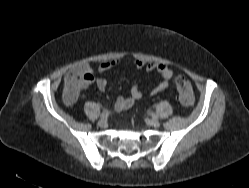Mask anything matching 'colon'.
Masks as SVG:
<instances>
[{"label": "colon", "instance_id": "5ec220e1", "mask_svg": "<svg viewBox=\"0 0 249 188\" xmlns=\"http://www.w3.org/2000/svg\"><path fill=\"white\" fill-rule=\"evenodd\" d=\"M77 74V71L72 69L70 75L73 77ZM175 86L178 92V98L180 103L185 107H191L194 103V94L190 82L184 76H177L175 78Z\"/></svg>", "mask_w": 249, "mask_h": 188}]
</instances>
